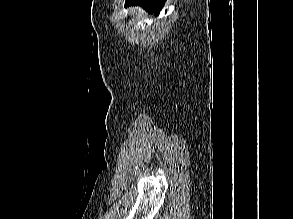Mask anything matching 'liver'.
Segmentation results:
<instances>
[{"mask_svg":"<svg viewBox=\"0 0 293 219\" xmlns=\"http://www.w3.org/2000/svg\"><path fill=\"white\" fill-rule=\"evenodd\" d=\"M137 11H140V9L139 8H136V7L130 9V13L132 15H134Z\"/></svg>","mask_w":293,"mask_h":219,"instance_id":"1","label":"liver"}]
</instances>
